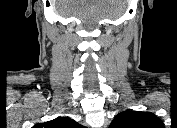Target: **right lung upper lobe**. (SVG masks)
Returning <instances> with one entry per match:
<instances>
[{
	"instance_id": "obj_1",
	"label": "right lung upper lobe",
	"mask_w": 177,
	"mask_h": 128,
	"mask_svg": "<svg viewBox=\"0 0 177 128\" xmlns=\"http://www.w3.org/2000/svg\"><path fill=\"white\" fill-rule=\"evenodd\" d=\"M35 127H38V128H83V126L77 123L76 121L70 118H65V117H59V118L53 119L45 123H39Z\"/></svg>"
}]
</instances>
